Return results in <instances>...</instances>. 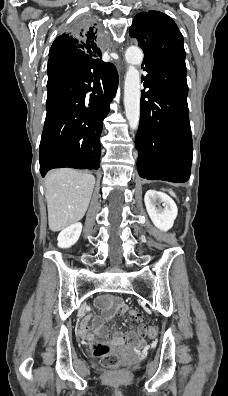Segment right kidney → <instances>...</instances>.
I'll return each instance as SVG.
<instances>
[{"mask_svg":"<svg viewBox=\"0 0 228 396\" xmlns=\"http://www.w3.org/2000/svg\"><path fill=\"white\" fill-rule=\"evenodd\" d=\"M81 231L82 224L80 222L68 226L58 235V246L60 248H70L78 241Z\"/></svg>","mask_w":228,"mask_h":396,"instance_id":"ca27d5eb","label":"right kidney"}]
</instances>
